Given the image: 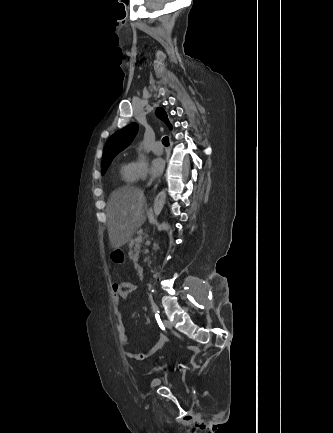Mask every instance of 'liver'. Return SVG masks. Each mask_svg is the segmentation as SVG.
<instances>
[{
	"mask_svg": "<svg viewBox=\"0 0 333 433\" xmlns=\"http://www.w3.org/2000/svg\"><path fill=\"white\" fill-rule=\"evenodd\" d=\"M144 191L125 185L113 191L106 206L109 240L117 249L130 238L146 221L144 215Z\"/></svg>",
	"mask_w": 333,
	"mask_h": 433,
	"instance_id": "6515ba94",
	"label": "liver"
}]
</instances>
